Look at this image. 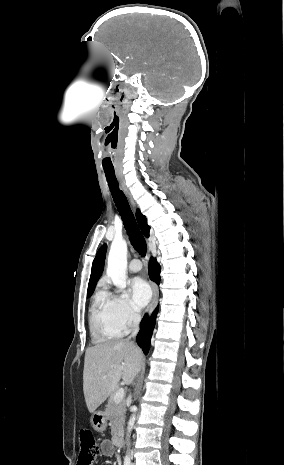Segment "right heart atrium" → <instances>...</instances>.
I'll use <instances>...</instances> for the list:
<instances>
[{
	"instance_id": "1",
	"label": "right heart atrium",
	"mask_w": 284,
	"mask_h": 465,
	"mask_svg": "<svg viewBox=\"0 0 284 465\" xmlns=\"http://www.w3.org/2000/svg\"><path fill=\"white\" fill-rule=\"evenodd\" d=\"M99 296L108 302L116 321L124 329H131L140 321V313L134 310L125 300L105 292H101Z\"/></svg>"
}]
</instances>
